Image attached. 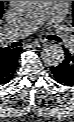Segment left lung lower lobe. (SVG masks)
<instances>
[{"instance_id": "left-lung-lower-lobe-1", "label": "left lung lower lobe", "mask_w": 74, "mask_h": 122, "mask_svg": "<svg viewBox=\"0 0 74 122\" xmlns=\"http://www.w3.org/2000/svg\"><path fill=\"white\" fill-rule=\"evenodd\" d=\"M64 61L58 66L51 67L56 81L62 85L74 86V49L65 50Z\"/></svg>"}]
</instances>
